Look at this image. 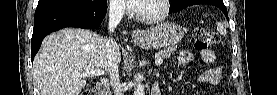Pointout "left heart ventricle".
Here are the masks:
<instances>
[{
	"instance_id": "left-heart-ventricle-1",
	"label": "left heart ventricle",
	"mask_w": 277,
	"mask_h": 95,
	"mask_svg": "<svg viewBox=\"0 0 277 95\" xmlns=\"http://www.w3.org/2000/svg\"><path fill=\"white\" fill-rule=\"evenodd\" d=\"M137 9L145 16L156 15L161 11L162 4L159 0H144Z\"/></svg>"
}]
</instances>
